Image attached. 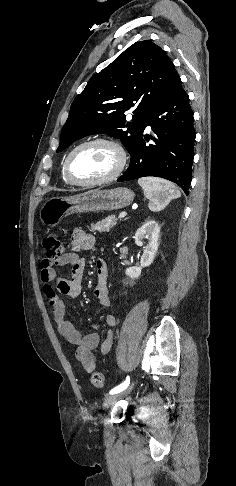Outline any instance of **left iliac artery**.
<instances>
[{"label":"left iliac artery","mask_w":236,"mask_h":486,"mask_svg":"<svg viewBox=\"0 0 236 486\" xmlns=\"http://www.w3.org/2000/svg\"><path fill=\"white\" fill-rule=\"evenodd\" d=\"M129 382H130V378H129V377H127V378H126V380H125L123 383H121L120 385H118V386H116L115 388H113V389H112V390L109 392V394H116V393H119V392H121V391L125 390V389L128 387Z\"/></svg>","instance_id":"obj_1"}]
</instances>
